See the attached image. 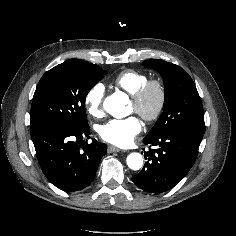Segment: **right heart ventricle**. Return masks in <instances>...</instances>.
<instances>
[{"instance_id": "obj_1", "label": "right heart ventricle", "mask_w": 236, "mask_h": 236, "mask_svg": "<svg viewBox=\"0 0 236 236\" xmlns=\"http://www.w3.org/2000/svg\"><path fill=\"white\" fill-rule=\"evenodd\" d=\"M149 75L138 70H125L114 79V85L130 95L135 94L147 81Z\"/></svg>"}]
</instances>
